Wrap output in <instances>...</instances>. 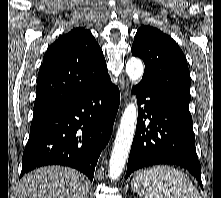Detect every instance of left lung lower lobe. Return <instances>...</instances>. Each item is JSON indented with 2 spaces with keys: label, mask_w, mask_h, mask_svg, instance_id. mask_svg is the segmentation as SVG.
<instances>
[{
  "label": "left lung lower lobe",
  "mask_w": 221,
  "mask_h": 198,
  "mask_svg": "<svg viewBox=\"0 0 221 198\" xmlns=\"http://www.w3.org/2000/svg\"><path fill=\"white\" fill-rule=\"evenodd\" d=\"M133 92L139 101V114L126 178L144 167L172 164L187 169L203 188L192 117L173 106L148 84L140 82ZM141 104L144 107L140 108ZM147 119L149 123H145Z\"/></svg>",
  "instance_id": "left-lung-lower-lobe-1"
}]
</instances>
